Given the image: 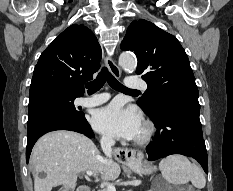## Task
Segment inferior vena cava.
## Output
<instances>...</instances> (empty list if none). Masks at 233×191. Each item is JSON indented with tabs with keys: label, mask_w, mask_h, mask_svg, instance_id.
<instances>
[{
	"label": "inferior vena cava",
	"mask_w": 233,
	"mask_h": 191,
	"mask_svg": "<svg viewBox=\"0 0 233 191\" xmlns=\"http://www.w3.org/2000/svg\"><path fill=\"white\" fill-rule=\"evenodd\" d=\"M100 144L104 154L107 156V159H103L102 162L105 164H111L112 146H114L115 141L111 137H102Z\"/></svg>",
	"instance_id": "obj_1"
}]
</instances>
